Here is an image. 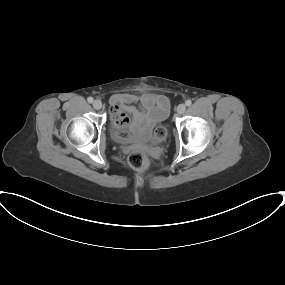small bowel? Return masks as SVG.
Returning a JSON list of instances; mask_svg holds the SVG:
<instances>
[{"mask_svg":"<svg viewBox=\"0 0 285 285\" xmlns=\"http://www.w3.org/2000/svg\"><path fill=\"white\" fill-rule=\"evenodd\" d=\"M114 124L121 129H150L168 114L169 99L161 94H120L111 98ZM134 104H138L136 108ZM122 122V125H121Z\"/></svg>","mask_w":285,"mask_h":285,"instance_id":"small-bowel-1","label":"small bowel"}]
</instances>
